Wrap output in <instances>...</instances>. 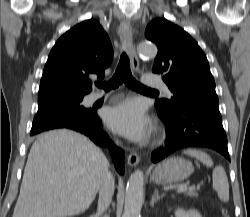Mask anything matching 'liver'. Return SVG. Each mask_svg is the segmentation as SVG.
Wrapping results in <instances>:
<instances>
[{
    "mask_svg": "<svg viewBox=\"0 0 250 217\" xmlns=\"http://www.w3.org/2000/svg\"><path fill=\"white\" fill-rule=\"evenodd\" d=\"M109 162L85 136L69 130L42 133L32 145L13 217H68L92 204Z\"/></svg>",
    "mask_w": 250,
    "mask_h": 217,
    "instance_id": "obj_1",
    "label": "liver"
}]
</instances>
